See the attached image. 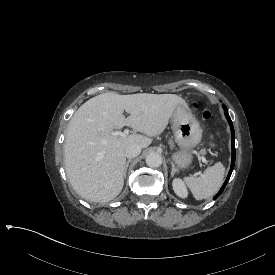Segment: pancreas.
Masks as SVG:
<instances>
[{"instance_id": "obj_1", "label": "pancreas", "mask_w": 275, "mask_h": 275, "mask_svg": "<svg viewBox=\"0 0 275 275\" xmlns=\"http://www.w3.org/2000/svg\"><path fill=\"white\" fill-rule=\"evenodd\" d=\"M169 145L171 148H173V142L171 140L169 141Z\"/></svg>"}]
</instances>
